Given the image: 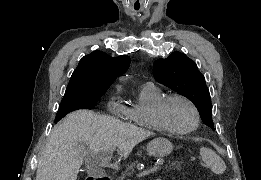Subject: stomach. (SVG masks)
I'll return each mask as SVG.
<instances>
[{
  "instance_id": "stomach-1",
  "label": "stomach",
  "mask_w": 261,
  "mask_h": 180,
  "mask_svg": "<svg viewBox=\"0 0 261 180\" xmlns=\"http://www.w3.org/2000/svg\"><path fill=\"white\" fill-rule=\"evenodd\" d=\"M173 151V144L166 138L158 137L147 144L148 155L165 157Z\"/></svg>"
}]
</instances>
